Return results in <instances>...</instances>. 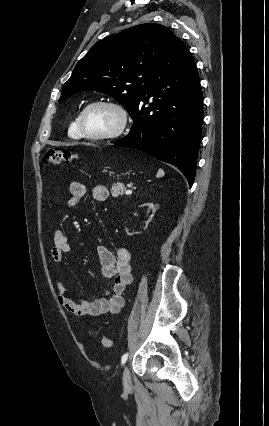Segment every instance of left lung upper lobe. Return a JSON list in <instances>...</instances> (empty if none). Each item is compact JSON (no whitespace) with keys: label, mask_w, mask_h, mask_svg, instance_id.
Segmentation results:
<instances>
[{"label":"left lung upper lobe","mask_w":269,"mask_h":426,"mask_svg":"<svg viewBox=\"0 0 269 426\" xmlns=\"http://www.w3.org/2000/svg\"><path fill=\"white\" fill-rule=\"evenodd\" d=\"M177 37L165 26L141 24L97 42L75 66L59 102L83 90L112 96L130 112Z\"/></svg>","instance_id":"1"}]
</instances>
